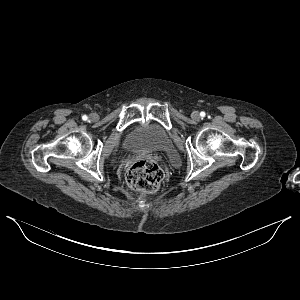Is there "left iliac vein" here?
Here are the masks:
<instances>
[{
	"label": "left iliac vein",
	"mask_w": 300,
	"mask_h": 300,
	"mask_svg": "<svg viewBox=\"0 0 300 300\" xmlns=\"http://www.w3.org/2000/svg\"><path fill=\"white\" fill-rule=\"evenodd\" d=\"M191 118H192V120H194V121H198V120L200 119V114H199V112H197V111L192 112Z\"/></svg>",
	"instance_id": "left-iliac-vein-1"
}]
</instances>
